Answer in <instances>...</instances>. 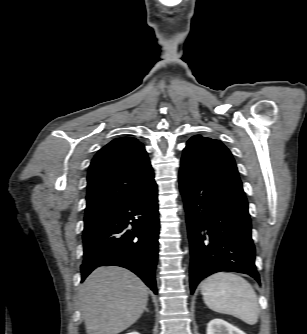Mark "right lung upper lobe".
Returning <instances> with one entry per match:
<instances>
[{
	"label": "right lung upper lobe",
	"instance_id": "right-lung-upper-lobe-1",
	"mask_svg": "<svg viewBox=\"0 0 307 334\" xmlns=\"http://www.w3.org/2000/svg\"><path fill=\"white\" fill-rule=\"evenodd\" d=\"M85 217L104 215L154 182L142 143L116 138L92 159L87 177Z\"/></svg>",
	"mask_w": 307,
	"mask_h": 334
}]
</instances>
